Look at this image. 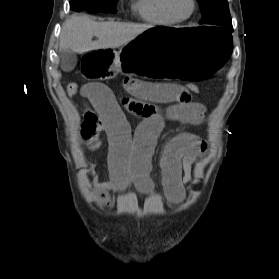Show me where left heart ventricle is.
<instances>
[{
  "mask_svg": "<svg viewBox=\"0 0 279 279\" xmlns=\"http://www.w3.org/2000/svg\"><path fill=\"white\" fill-rule=\"evenodd\" d=\"M170 6L177 16L188 15L192 8L191 0H170Z\"/></svg>",
  "mask_w": 279,
  "mask_h": 279,
  "instance_id": "obj_1",
  "label": "left heart ventricle"
}]
</instances>
